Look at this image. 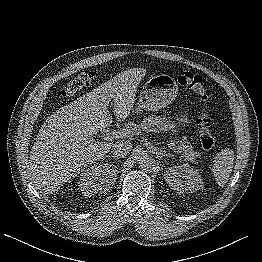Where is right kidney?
I'll list each match as a JSON object with an SVG mask.
<instances>
[{"instance_id":"right-kidney-1","label":"right kidney","mask_w":262,"mask_h":262,"mask_svg":"<svg viewBox=\"0 0 262 262\" xmlns=\"http://www.w3.org/2000/svg\"><path fill=\"white\" fill-rule=\"evenodd\" d=\"M117 168L114 165H100L85 170L80 177L79 186L85 196H91L97 193L108 191L116 180ZM102 175L100 183L98 178Z\"/></svg>"}]
</instances>
